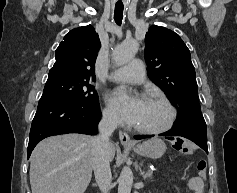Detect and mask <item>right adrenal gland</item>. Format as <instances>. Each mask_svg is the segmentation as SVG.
<instances>
[{
    "label": "right adrenal gland",
    "mask_w": 237,
    "mask_h": 193,
    "mask_svg": "<svg viewBox=\"0 0 237 193\" xmlns=\"http://www.w3.org/2000/svg\"><path fill=\"white\" fill-rule=\"evenodd\" d=\"M93 186H97V184H96V183H94V184H93Z\"/></svg>",
    "instance_id": "obj_1"
}]
</instances>
